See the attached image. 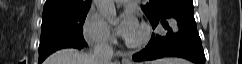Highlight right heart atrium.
<instances>
[{
  "instance_id": "right-heart-atrium-1",
  "label": "right heart atrium",
  "mask_w": 242,
  "mask_h": 64,
  "mask_svg": "<svg viewBox=\"0 0 242 64\" xmlns=\"http://www.w3.org/2000/svg\"><path fill=\"white\" fill-rule=\"evenodd\" d=\"M82 34L86 41L96 45H108L113 40L108 23L93 9L89 10L84 18Z\"/></svg>"
}]
</instances>
